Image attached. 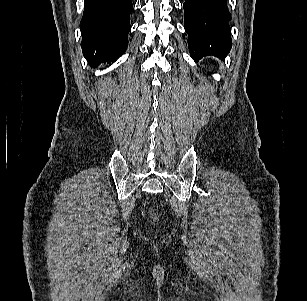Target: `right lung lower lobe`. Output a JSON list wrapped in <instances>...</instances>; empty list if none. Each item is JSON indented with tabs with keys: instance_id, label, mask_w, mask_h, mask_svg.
Listing matches in <instances>:
<instances>
[{
	"instance_id": "obj_1",
	"label": "right lung lower lobe",
	"mask_w": 307,
	"mask_h": 301,
	"mask_svg": "<svg viewBox=\"0 0 307 301\" xmlns=\"http://www.w3.org/2000/svg\"><path fill=\"white\" fill-rule=\"evenodd\" d=\"M132 8L131 0H84L81 47L90 66L114 62L123 55Z\"/></svg>"
}]
</instances>
